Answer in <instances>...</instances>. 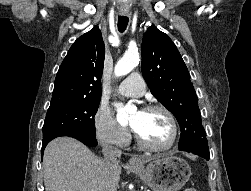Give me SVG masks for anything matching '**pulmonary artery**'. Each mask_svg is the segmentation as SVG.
I'll list each match as a JSON object with an SVG mask.
<instances>
[{
    "label": "pulmonary artery",
    "instance_id": "1",
    "mask_svg": "<svg viewBox=\"0 0 251 191\" xmlns=\"http://www.w3.org/2000/svg\"><path fill=\"white\" fill-rule=\"evenodd\" d=\"M146 91V84L141 74L134 72L128 75L119 85L118 92L125 96L138 97Z\"/></svg>",
    "mask_w": 251,
    "mask_h": 191
}]
</instances>
